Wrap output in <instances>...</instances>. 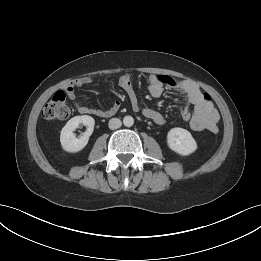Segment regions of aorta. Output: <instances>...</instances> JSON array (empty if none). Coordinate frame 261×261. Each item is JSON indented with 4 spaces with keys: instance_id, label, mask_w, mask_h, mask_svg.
I'll return each mask as SVG.
<instances>
[{
    "instance_id": "1",
    "label": "aorta",
    "mask_w": 261,
    "mask_h": 261,
    "mask_svg": "<svg viewBox=\"0 0 261 261\" xmlns=\"http://www.w3.org/2000/svg\"><path fill=\"white\" fill-rule=\"evenodd\" d=\"M123 124L126 126V127H131L133 124H134V119L132 116H125L123 118Z\"/></svg>"
}]
</instances>
